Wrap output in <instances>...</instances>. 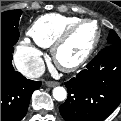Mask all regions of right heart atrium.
<instances>
[{"mask_svg": "<svg viewBox=\"0 0 121 121\" xmlns=\"http://www.w3.org/2000/svg\"><path fill=\"white\" fill-rule=\"evenodd\" d=\"M14 62L18 70L26 76H34L43 68L42 52L28 39L19 41Z\"/></svg>", "mask_w": 121, "mask_h": 121, "instance_id": "obj_1", "label": "right heart atrium"}]
</instances>
